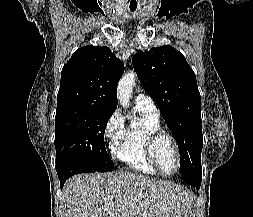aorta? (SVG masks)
<instances>
[{"label": "aorta", "instance_id": "aorta-1", "mask_svg": "<svg viewBox=\"0 0 253 217\" xmlns=\"http://www.w3.org/2000/svg\"><path fill=\"white\" fill-rule=\"evenodd\" d=\"M136 79L134 72L125 74L118 83L117 97L123 107L129 106V100L133 92V86Z\"/></svg>", "mask_w": 253, "mask_h": 217}]
</instances>
